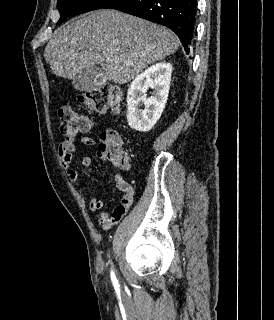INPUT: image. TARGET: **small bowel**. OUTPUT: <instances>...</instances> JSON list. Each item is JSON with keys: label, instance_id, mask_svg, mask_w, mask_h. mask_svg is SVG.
<instances>
[{"label": "small bowel", "instance_id": "c3829d8e", "mask_svg": "<svg viewBox=\"0 0 274 320\" xmlns=\"http://www.w3.org/2000/svg\"><path fill=\"white\" fill-rule=\"evenodd\" d=\"M94 119H84L83 125L86 126L82 129L81 132H88L92 126H94ZM77 137L76 135L66 136L59 144V161L61 167L65 170L67 177L71 184H73L80 196L83 199L90 198L89 200V208L92 212L99 211L104 207V200L100 199L97 193L90 186L85 184L77 170L73 167V162L78 156L79 150L77 147ZM80 143L87 147H94L96 145L95 140L89 136H83L80 138ZM97 154L100 158L106 159L109 158L107 151L103 148V146H98ZM114 161H124L129 162V167L118 168V170L114 174V180L116 183V187L123 192V196L121 198L120 203L114 207L112 210L102 211L97 216V221L104 227V229H109L110 227L116 225L122 217L126 214L128 209L133 203L134 199V188L133 186L127 182L121 173V170H129L131 167V158L125 153L123 150L114 156ZM81 165L84 168H88L91 165V158L88 155H84L81 159ZM108 225V228L105 226Z\"/></svg>", "mask_w": 274, "mask_h": 320}]
</instances>
